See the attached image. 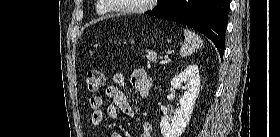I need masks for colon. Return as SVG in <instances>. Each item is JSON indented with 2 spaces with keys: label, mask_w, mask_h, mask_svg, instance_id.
<instances>
[{
  "label": "colon",
  "mask_w": 280,
  "mask_h": 137,
  "mask_svg": "<svg viewBox=\"0 0 280 137\" xmlns=\"http://www.w3.org/2000/svg\"><path fill=\"white\" fill-rule=\"evenodd\" d=\"M105 82L104 74L98 70L93 69L87 72L85 76V85L91 92L98 91Z\"/></svg>",
  "instance_id": "colon-1"
}]
</instances>
